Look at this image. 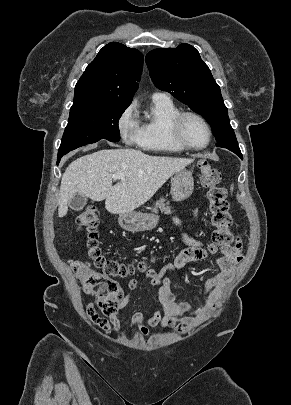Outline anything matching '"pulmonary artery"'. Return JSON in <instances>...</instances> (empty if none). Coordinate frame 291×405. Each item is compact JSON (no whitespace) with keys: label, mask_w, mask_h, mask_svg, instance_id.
I'll list each match as a JSON object with an SVG mask.
<instances>
[{"label":"pulmonary artery","mask_w":291,"mask_h":405,"mask_svg":"<svg viewBox=\"0 0 291 405\" xmlns=\"http://www.w3.org/2000/svg\"><path fill=\"white\" fill-rule=\"evenodd\" d=\"M152 98H169V96L165 92L156 91L152 94Z\"/></svg>","instance_id":"e3ab8cb5"}]
</instances>
